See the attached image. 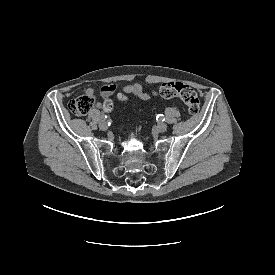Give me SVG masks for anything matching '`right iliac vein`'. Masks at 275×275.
Segmentation results:
<instances>
[{
    "label": "right iliac vein",
    "mask_w": 275,
    "mask_h": 275,
    "mask_svg": "<svg viewBox=\"0 0 275 275\" xmlns=\"http://www.w3.org/2000/svg\"><path fill=\"white\" fill-rule=\"evenodd\" d=\"M99 128L103 131L107 130L108 129L107 123L105 121H101L99 123Z\"/></svg>",
    "instance_id": "1"
}]
</instances>
